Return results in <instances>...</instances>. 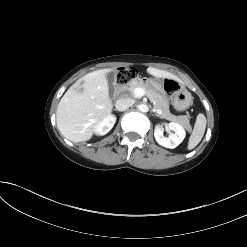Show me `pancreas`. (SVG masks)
<instances>
[{"label":"pancreas","mask_w":247,"mask_h":247,"mask_svg":"<svg viewBox=\"0 0 247 247\" xmlns=\"http://www.w3.org/2000/svg\"><path fill=\"white\" fill-rule=\"evenodd\" d=\"M126 85H128V83ZM138 87L143 88L146 91L147 96L154 105V109L156 111L157 110L161 111L160 114L161 118L180 123L186 128L188 132L192 130V127L189 123V119L187 116L185 115L175 116L170 113L168 100L157 91V86L154 82L150 81L149 83H144L141 80V82H133L131 86H128V88H125L124 86V89L133 93L134 89Z\"/></svg>","instance_id":"obj_1"}]
</instances>
